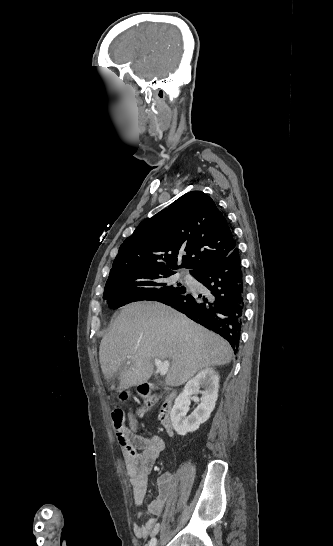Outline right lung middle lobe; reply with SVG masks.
I'll return each mask as SVG.
<instances>
[{"label": "right lung middle lobe", "instance_id": "1", "mask_svg": "<svg viewBox=\"0 0 333 546\" xmlns=\"http://www.w3.org/2000/svg\"><path fill=\"white\" fill-rule=\"evenodd\" d=\"M174 273L136 268L113 269L106 282L103 299L110 308L116 309L135 301H157L161 297L183 295L186 293L184 286L166 280Z\"/></svg>", "mask_w": 333, "mask_h": 546}]
</instances>
